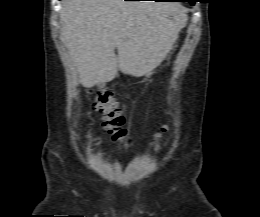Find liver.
<instances>
[{"instance_id":"1","label":"liver","mask_w":260,"mask_h":217,"mask_svg":"<svg viewBox=\"0 0 260 217\" xmlns=\"http://www.w3.org/2000/svg\"><path fill=\"white\" fill-rule=\"evenodd\" d=\"M185 19L169 2L64 0L61 40L77 67L80 83L92 87L113 80L118 69L134 77L155 69Z\"/></svg>"}]
</instances>
